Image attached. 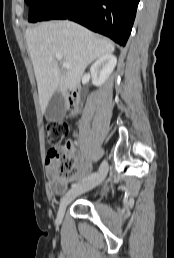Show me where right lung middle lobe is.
I'll return each mask as SVG.
<instances>
[{
  "label": "right lung middle lobe",
  "instance_id": "1",
  "mask_svg": "<svg viewBox=\"0 0 174 258\" xmlns=\"http://www.w3.org/2000/svg\"><path fill=\"white\" fill-rule=\"evenodd\" d=\"M53 0H25L29 3V22L41 21Z\"/></svg>",
  "mask_w": 174,
  "mask_h": 258
}]
</instances>
